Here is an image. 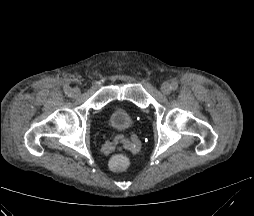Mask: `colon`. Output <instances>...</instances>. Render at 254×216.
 Listing matches in <instances>:
<instances>
[{"instance_id":"1","label":"colon","mask_w":254,"mask_h":216,"mask_svg":"<svg viewBox=\"0 0 254 216\" xmlns=\"http://www.w3.org/2000/svg\"><path fill=\"white\" fill-rule=\"evenodd\" d=\"M109 168L115 172L124 171L128 166L127 158L122 154H116L109 159Z\"/></svg>"}]
</instances>
